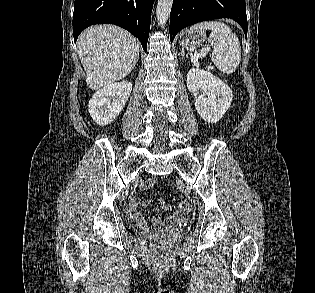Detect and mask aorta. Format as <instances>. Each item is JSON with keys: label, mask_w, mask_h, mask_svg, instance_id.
Segmentation results:
<instances>
[{"label": "aorta", "mask_w": 315, "mask_h": 293, "mask_svg": "<svg viewBox=\"0 0 315 293\" xmlns=\"http://www.w3.org/2000/svg\"><path fill=\"white\" fill-rule=\"evenodd\" d=\"M172 2L173 0H158V4L156 7V16H157L158 24L160 26H163L166 24L170 16Z\"/></svg>", "instance_id": "1"}]
</instances>
